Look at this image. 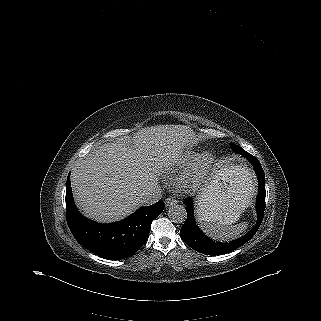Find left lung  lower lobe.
I'll return each instance as SVG.
<instances>
[{
  "mask_svg": "<svg viewBox=\"0 0 321 321\" xmlns=\"http://www.w3.org/2000/svg\"><path fill=\"white\" fill-rule=\"evenodd\" d=\"M238 153L252 163L258 177L259 189L256 201V210L258 214L257 223L255 227L251 229L250 232H248L245 236H243L240 239H237L229 243L213 242L210 239H208L196 225L191 198H186L184 200V203L186 205L187 219L180 230L181 238L192 249L200 253L206 255H222L239 248L255 235L263 220L266 196L264 171L261 167L260 162L253 155L249 154L244 149L239 150Z\"/></svg>",
  "mask_w": 321,
  "mask_h": 321,
  "instance_id": "obj_1",
  "label": "left lung lower lobe"
}]
</instances>
